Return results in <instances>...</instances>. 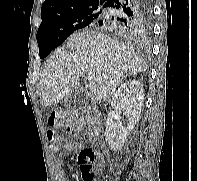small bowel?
Returning a JSON list of instances; mask_svg holds the SVG:
<instances>
[{"label": "small bowel", "instance_id": "c3829d8e", "mask_svg": "<svg viewBox=\"0 0 197 181\" xmlns=\"http://www.w3.org/2000/svg\"><path fill=\"white\" fill-rule=\"evenodd\" d=\"M80 147H81L80 144L77 142H67L64 144L63 150L66 153H71L77 151L78 149H80ZM59 149L55 151H59ZM54 167L57 176L60 178V181H70L69 178L65 175V172L63 170V159L61 157L55 160Z\"/></svg>", "mask_w": 197, "mask_h": 181}]
</instances>
